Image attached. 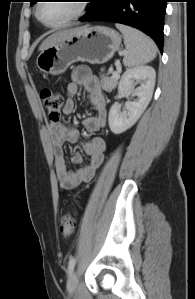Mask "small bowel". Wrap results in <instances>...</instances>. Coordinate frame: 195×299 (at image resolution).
<instances>
[{"label": "small bowel", "mask_w": 195, "mask_h": 299, "mask_svg": "<svg viewBox=\"0 0 195 299\" xmlns=\"http://www.w3.org/2000/svg\"><path fill=\"white\" fill-rule=\"evenodd\" d=\"M82 86L89 94V100L96 110V114L85 118L83 125L88 133H94L105 127L107 122L106 99L99 79L85 67H77L72 73V80L66 86L67 99L63 112L70 115L75 110L73 97L77 94L79 87ZM49 133L53 145L55 156L56 173L60 185L66 190H73L82 183L89 182L97 168L104 160L106 142L100 137L92 138L83 145L84 151L90 157L88 163L83 162L82 155L75 153L73 161L82 165L77 171L71 172L64 159L63 145L66 142L75 143L78 140V131L63 122H50Z\"/></svg>", "instance_id": "c3829d8e"}]
</instances>
